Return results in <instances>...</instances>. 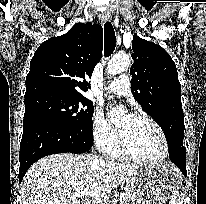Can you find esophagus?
<instances>
[{
  "label": "esophagus",
  "mask_w": 206,
  "mask_h": 204,
  "mask_svg": "<svg viewBox=\"0 0 206 204\" xmlns=\"http://www.w3.org/2000/svg\"><path fill=\"white\" fill-rule=\"evenodd\" d=\"M110 13L109 12H103L102 14H101V18L103 19V20H105V21H107V20H109L110 19Z\"/></svg>",
  "instance_id": "esophagus-1"
}]
</instances>
